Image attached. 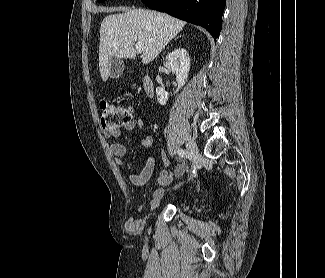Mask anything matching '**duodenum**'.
<instances>
[{"instance_id": "1", "label": "duodenum", "mask_w": 325, "mask_h": 278, "mask_svg": "<svg viewBox=\"0 0 325 278\" xmlns=\"http://www.w3.org/2000/svg\"><path fill=\"white\" fill-rule=\"evenodd\" d=\"M143 87L148 96L151 97L154 94V83L150 77L144 79Z\"/></svg>"}]
</instances>
